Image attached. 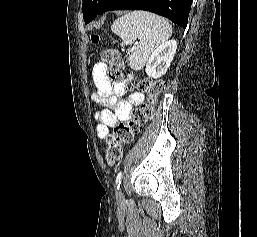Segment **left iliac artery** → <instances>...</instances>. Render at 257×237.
Returning a JSON list of instances; mask_svg holds the SVG:
<instances>
[{
	"label": "left iliac artery",
	"instance_id": "1",
	"mask_svg": "<svg viewBox=\"0 0 257 237\" xmlns=\"http://www.w3.org/2000/svg\"><path fill=\"white\" fill-rule=\"evenodd\" d=\"M121 178H122V172H119L117 177H116V190H119L120 183H121Z\"/></svg>",
	"mask_w": 257,
	"mask_h": 237
}]
</instances>
